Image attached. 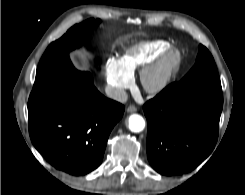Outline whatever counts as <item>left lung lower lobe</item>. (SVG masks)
<instances>
[{
  "mask_svg": "<svg viewBox=\"0 0 245 195\" xmlns=\"http://www.w3.org/2000/svg\"><path fill=\"white\" fill-rule=\"evenodd\" d=\"M223 94L172 83L146 102L147 157L166 176L187 173L212 152L218 138Z\"/></svg>",
  "mask_w": 245,
  "mask_h": 195,
  "instance_id": "obj_1",
  "label": "left lung lower lobe"
}]
</instances>
